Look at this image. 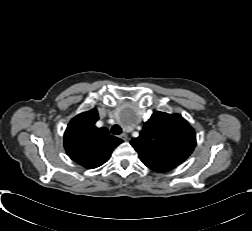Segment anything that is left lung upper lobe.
Segmentation results:
<instances>
[{
    "label": "left lung upper lobe",
    "instance_id": "obj_1",
    "mask_svg": "<svg viewBox=\"0 0 252 231\" xmlns=\"http://www.w3.org/2000/svg\"><path fill=\"white\" fill-rule=\"evenodd\" d=\"M130 143L147 167H176L194 150L196 134L181 115L154 112Z\"/></svg>",
    "mask_w": 252,
    "mask_h": 231
}]
</instances>
